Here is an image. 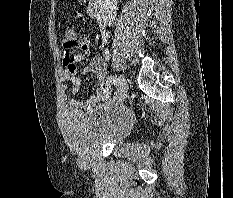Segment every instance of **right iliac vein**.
Instances as JSON below:
<instances>
[{"label": "right iliac vein", "instance_id": "63e3f726", "mask_svg": "<svg viewBox=\"0 0 233 198\" xmlns=\"http://www.w3.org/2000/svg\"><path fill=\"white\" fill-rule=\"evenodd\" d=\"M119 82V89L115 99L116 104H120L125 99L128 93L127 80L123 75L120 76Z\"/></svg>", "mask_w": 233, "mask_h": 198}]
</instances>
